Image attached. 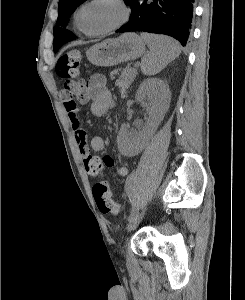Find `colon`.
Segmentation results:
<instances>
[{"instance_id":"obj_1","label":"colon","mask_w":245,"mask_h":300,"mask_svg":"<svg viewBox=\"0 0 245 300\" xmlns=\"http://www.w3.org/2000/svg\"><path fill=\"white\" fill-rule=\"evenodd\" d=\"M81 62L80 52L71 50L61 55L56 63V74L64 81L62 97L71 98L78 93L82 85L78 81ZM93 197L100 212L115 214L119 211V205L112 200L109 190H92Z\"/></svg>"}]
</instances>
